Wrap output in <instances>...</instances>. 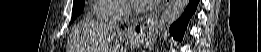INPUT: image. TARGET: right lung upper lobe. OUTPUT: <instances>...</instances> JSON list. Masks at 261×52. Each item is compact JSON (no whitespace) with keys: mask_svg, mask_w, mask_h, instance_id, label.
I'll return each instance as SVG.
<instances>
[{"mask_svg":"<svg viewBox=\"0 0 261 52\" xmlns=\"http://www.w3.org/2000/svg\"><path fill=\"white\" fill-rule=\"evenodd\" d=\"M78 0H74V3L77 2Z\"/></svg>","mask_w":261,"mask_h":52,"instance_id":"cb5924a9","label":"right lung upper lobe"}]
</instances>
